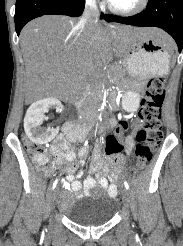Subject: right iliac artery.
Masks as SVG:
<instances>
[{"instance_id": "right-iliac-artery-1", "label": "right iliac artery", "mask_w": 183, "mask_h": 246, "mask_svg": "<svg viewBox=\"0 0 183 246\" xmlns=\"http://www.w3.org/2000/svg\"><path fill=\"white\" fill-rule=\"evenodd\" d=\"M57 183H58V180H55L53 183L52 189H54L56 187Z\"/></svg>"}]
</instances>
